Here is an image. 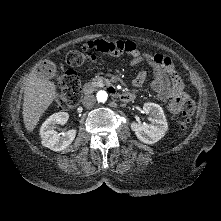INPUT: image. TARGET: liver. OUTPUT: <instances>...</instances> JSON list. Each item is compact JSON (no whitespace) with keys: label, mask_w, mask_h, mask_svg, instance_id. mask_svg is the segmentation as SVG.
<instances>
[{"label":"liver","mask_w":221,"mask_h":221,"mask_svg":"<svg viewBox=\"0 0 221 221\" xmlns=\"http://www.w3.org/2000/svg\"><path fill=\"white\" fill-rule=\"evenodd\" d=\"M57 97L56 85L37 77L35 72L28 75L24 87L23 119L25 127L32 132L39 119Z\"/></svg>","instance_id":"liver-1"}]
</instances>
